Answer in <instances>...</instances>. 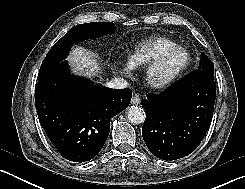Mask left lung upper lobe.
Masks as SVG:
<instances>
[{
	"label": "left lung upper lobe",
	"instance_id": "obj_1",
	"mask_svg": "<svg viewBox=\"0 0 245 189\" xmlns=\"http://www.w3.org/2000/svg\"><path fill=\"white\" fill-rule=\"evenodd\" d=\"M198 69L206 71L214 76V64L204 53H201Z\"/></svg>",
	"mask_w": 245,
	"mask_h": 189
}]
</instances>
